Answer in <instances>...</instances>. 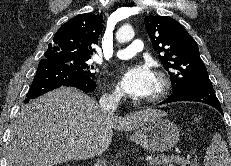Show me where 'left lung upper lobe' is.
I'll return each mask as SVG.
<instances>
[{"label": "left lung upper lobe", "mask_w": 231, "mask_h": 166, "mask_svg": "<svg viewBox=\"0 0 231 166\" xmlns=\"http://www.w3.org/2000/svg\"><path fill=\"white\" fill-rule=\"evenodd\" d=\"M145 28L168 73L173 92L189 86L213 87L196 41L176 20L147 16Z\"/></svg>", "instance_id": "obj_1"}]
</instances>
